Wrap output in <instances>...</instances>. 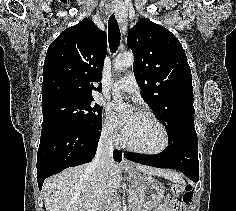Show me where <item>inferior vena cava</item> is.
Returning <instances> with one entry per match:
<instances>
[{
    "label": "inferior vena cava",
    "mask_w": 236,
    "mask_h": 211,
    "mask_svg": "<svg viewBox=\"0 0 236 211\" xmlns=\"http://www.w3.org/2000/svg\"><path fill=\"white\" fill-rule=\"evenodd\" d=\"M113 143H114V134L113 132H104L102 133L96 156L94 160L89 164V169L97 170L103 176L111 163L113 162Z\"/></svg>",
    "instance_id": "1"
}]
</instances>
